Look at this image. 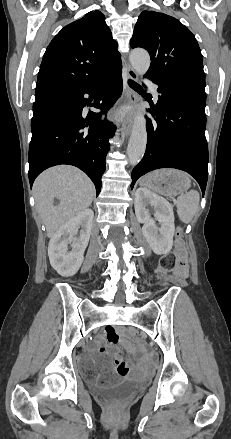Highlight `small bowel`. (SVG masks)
I'll return each mask as SVG.
<instances>
[{
    "label": "small bowel",
    "instance_id": "small-bowel-1",
    "mask_svg": "<svg viewBox=\"0 0 231 439\" xmlns=\"http://www.w3.org/2000/svg\"><path fill=\"white\" fill-rule=\"evenodd\" d=\"M103 342H106V345H103ZM118 342H119V336L116 334V332L113 329H109L105 338H99L96 341L97 346L93 350V354L102 359L104 370L108 374L113 372L114 367H118L123 363L128 367V365L124 362L121 354L117 351ZM107 348L113 349V358H114L113 364H111V362L106 359ZM135 373L140 375L144 373V370L142 368H138L136 369Z\"/></svg>",
    "mask_w": 231,
    "mask_h": 439
}]
</instances>
